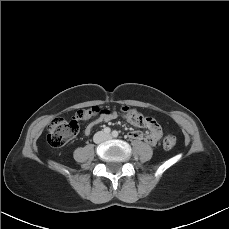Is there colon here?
<instances>
[{
  "label": "colon",
  "mask_w": 229,
  "mask_h": 229,
  "mask_svg": "<svg viewBox=\"0 0 229 229\" xmlns=\"http://www.w3.org/2000/svg\"><path fill=\"white\" fill-rule=\"evenodd\" d=\"M122 112L127 121L134 125H144L146 118L138 110L130 107H122ZM101 113L99 107H91L89 109L79 110L69 121L62 118L53 119L47 128V143L52 147L64 146L70 137H72L79 128V122L95 117ZM177 144V137L174 134H168L163 139L165 149H172Z\"/></svg>",
  "instance_id": "colon-1"
}]
</instances>
